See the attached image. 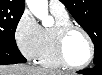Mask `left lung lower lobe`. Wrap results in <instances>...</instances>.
<instances>
[{"label": "left lung lower lobe", "instance_id": "1", "mask_svg": "<svg viewBox=\"0 0 102 75\" xmlns=\"http://www.w3.org/2000/svg\"><path fill=\"white\" fill-rule=\"evenodd\" d=\"M77 73L85 75H101L102 74V63L95 64L94 68L80 70Z\"/></svg>", "mask_w": 102, "mask_h": 75}]
</instances>
